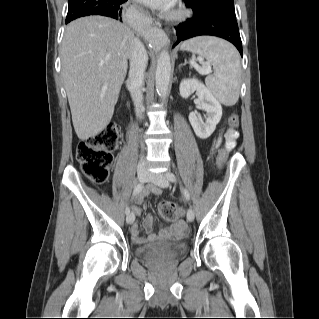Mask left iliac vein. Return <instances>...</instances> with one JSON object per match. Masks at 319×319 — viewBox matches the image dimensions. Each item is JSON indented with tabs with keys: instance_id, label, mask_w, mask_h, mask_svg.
I'll use <instances>...</instances> for the list:
<instances>
[{
	"instance_id": "4c4485c4",
	"label": "left iliac vein",
	"mask_w": 319,
	"mask_h": 319,
	"mask_svg": "<svg viewBox=\"0 0 319 319\" xmlns=\"http://www.w3.org/2000/svg\"><path fill=\"white\" fill-rule=\"evenodd\" d=\"M149 181L161 188H167L169 186V180L164 174H154L149 175ZM187 220L192 222L194 220V211L192 208L187 210Z\"/></svg>"
}]
</instances>
